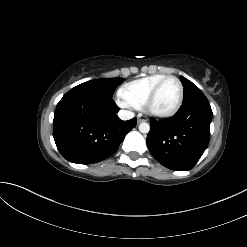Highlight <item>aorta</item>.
<instances>
[{"mask_svg": "<svg viewBox=\"0 0 247 247\" xmlns=\"http://www.w3.org/2000/svg\"><path fill=\"white\" fill-rule=\"evenodd\" d=\"M139 131L141 133H148L150 131V125L146 122H142L139 125Z\"/></svg>", "mask_w": 247, "mask_h": 247, "instance_id": "obj_1", "label": "aorta"}]
</instances>
